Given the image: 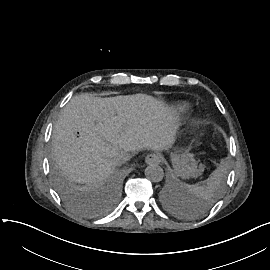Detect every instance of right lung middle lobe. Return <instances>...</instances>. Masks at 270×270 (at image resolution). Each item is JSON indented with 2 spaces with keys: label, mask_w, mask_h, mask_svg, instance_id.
I'll list each match as a JSON object with an SVG mask.
<instances>
[{
  "label": "right lung middle lobe",
  "mask_w": 270,
  "mask_h": 270,
  "mask_svg": "<svg viewBox=\"0 0 270 270\" xmlns=\"http://www.w3.org/2000/svg\"><path fill=\"white\" fill-rule=\"evenodd\" d=\"M56 184L58 187V190L60 192V194L63 196V198L72 206L77 207V204L75 203V201L72 199V197L67 193L63 181L60 179L56 180Z\"/></svg>",
  "instance_id": "right-lung-middle-lobe-1"
}]
</instances>
